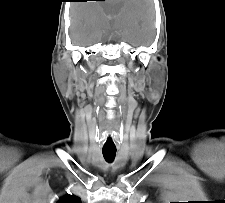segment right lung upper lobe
I'll return each mask as SVG.
<instances>
[{"label": "right lung upper lobe", "instance_id": "right-lung-upper-lobe-1", "mask_svg": "<svg viewBox=\"0 0 225 203\" xmlns=\"http://www.w3.org/2000/svg\"><path fill=\"white\" fill-rule=\"evenodd\" d=\"M57 203H81V200L80 198L74 195H69V196H64Z\"/></svg>", "mask_w": 225, "mask_h": 203}]
</instances>
